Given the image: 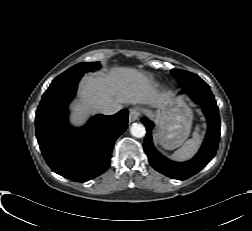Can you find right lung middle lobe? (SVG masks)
<instances>
[{"instance_id":"dd1d6c3e","label":"right lung middle lobe","mask_w":252,"mask_h":231,"mask_svg":"<svg viewBox=\"0 0 252 231\" xmlns=\"http://www.w3.org/2000/svg\"><path fill=\"white\" fill-rule=\"evenodd\" d=\"M98 68H100V64L98 62L78 63V64L72 66L71 68H69L68 70H66L64 73H62L58 77H56L52 81L50 87L58 85L60 83H64V82L73 80V79H76V78H81L84 73L97 70Z\"/></svg>"}]
</instances>
